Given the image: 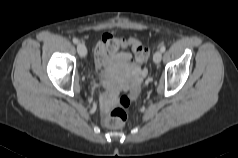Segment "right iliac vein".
Instances as JSON below:
<instances>
[{
	"label": "right iliac vein",
	"instance_id": "1",
	"mask_svg": "<svg viewBox=\"0 0 238 158\" xmlns=\"http://www.w3.org/2000/svg\"><path fill=\"white\" fill-rule=\"evenodd\" d=\"M77 52L81 57H85L87 55V48L84 43H78Z\"/></svg>",
	"mask_w": 238,
	"mask_h": 158
}]
</instances>
